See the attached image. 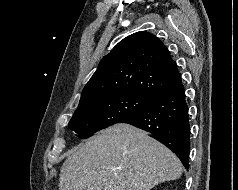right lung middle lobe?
<instances>
[{"instance_id": "obj_1", "label": "right lung middle lobe", "mask_w": 238, "mask_h": 190, "mask_svg": "<svg viewBox=\"0 0 238 190\" xmlns=\"http://www.w3.org/2000/svg\"><path fill=\"white\" fill-rule=\"evenodd\" d=\"M153 101L131 94H116L91 99L79 106L69 128L86 139L97 131L140 112Z\"/></svg>"}]
</instances>
